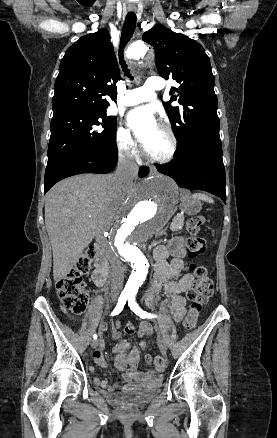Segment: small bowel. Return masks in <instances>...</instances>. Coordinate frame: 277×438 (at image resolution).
<instances>
[{"label": "small bowel", "instance_id": "c3829d8e", "mask_svg": "<svg viewBox=\"0 0 277 438\" xmlns=\"http://www.w3.org/2000/svg\"><path fill=\"white\" fill-rule=\"evenodd\" d=\"M170 255L169 249L166 246H160L156 249L155 258V275L151 282L148 291L145 293L144 301L148 307H152L154 303L155 294L164 289L165 293L170 297V301L167 304L172 317L175 321H181L185 314V292L190 288L194 281V277L191 273L187 272V265L184 260L185 251L181 246L176 249L175 256L168 260ZM120 322L116 321L115 326L111 328L113 337L119 339V342L114 348L115 352V365L119 371L122 372L124 387L129 388L133 385H140L142 387L155 388L161 381V375L159 372H142L136 368L140 361V349L145 350L147 343L144 340L139 342V348H132L130 342L127 339H122V335L118 332ZM107 329L105 325L100 326V331L103 332ZM134 326L130 325L125 327V332L134 333ZM153 332L152 325L148 322H143L140 325L138 335L139 337L151 335ZM106 350L104 345L94 352V359L100 364L105 365L103 353ZM145 360L147 363H151L153 357L151 354H146ZM94 372V369H91ZM97 385L113 390L114 387L109 385L105 380L96 379Z\"/></svg>", "mask_w": 277, "mask_h": 438}]
</instances>
